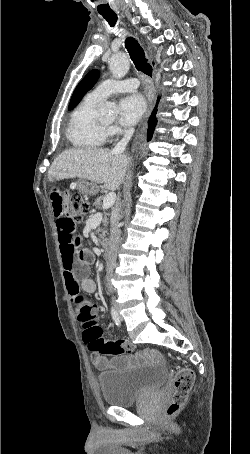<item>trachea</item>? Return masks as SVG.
I'll return each instance as SVG.
<instances>
[{"label":"trachea","instance_id":"trachea-1","mask_svg":"<svg viewBox=\"0 0 250 454\" xmlns=\"http://www.w3.org/2000/svg\"><path fill=\"white\" fill-rule=\"evenodd\" d=\"M111 27L116 24L117 16L108 15L103 16ZM125 47L130 55L131 60L133 61L136 69L148 76H152V66L147 62L145 58L144 51L138 42L132 38L128 37L125 41Z\"/></svg>","mask_w":250,"mask_h":454}]
</instances>
